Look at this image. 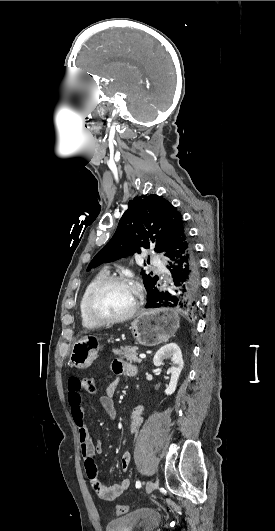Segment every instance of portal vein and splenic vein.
<instances>
[{
  "mask_svg": "<svg viewBox=\"0 0 275 531\" xmlns=\"http://www.w3.org/2000/svg\"><path fill=\"white\" fill-rule=\"evenodd\" d=\"M140 359H145L146 355H139Z\"/></svg>",
  "mask_w": 275,
  "mask_h": 531,
  "instance_id": "1",
  "label": "portal vein and splenic vein"
}]
</instances>
